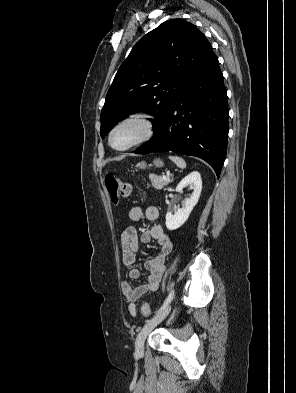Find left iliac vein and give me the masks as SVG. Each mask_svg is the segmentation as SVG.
Here are the masks:
<instances>
[{
    "mask_svg": "<svg viewBox=\"0 0 296 393\" xmlns=\"http://www.w3.org/2000/svg\"><path fill=\"white\" fill-rule=\"evenodd\" d=\"M170 310H171V305H168L165 309L159 312L155 317L149 320L145 324V326L141 329V331L137 336L136 344H135V350L137 355L143 354L145 339L147 338L149 333L168 316Z\"/></svg>",
    "mask_w": 296,
    "mask_h": 393,
    "instance_id": "left-iliac-vein-1",
    "label": "left iliac vein"
}]
</instances>
